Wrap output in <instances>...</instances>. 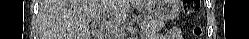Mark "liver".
Wrapping results in <instances>:
<instances>
[{
  "label": "liver",
  "instance_id": "1",
  "mask_svg": "<svg viewBox=\"0 0 249 39\" xmlns=\"http://www.w3.org/2000/svg\"><path fill=\"white\" fill-rule=\"evenodd\" d=\"M130 1L41 0L40 39H91V22L101 20L106 29L118 27L127 19Z\"/></svg>",
  "mask_w": 249,
  "mask_h": 39
}]
</instances>
